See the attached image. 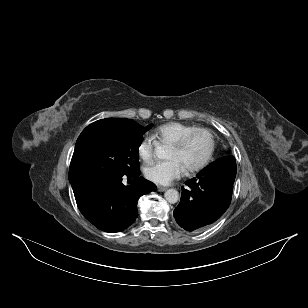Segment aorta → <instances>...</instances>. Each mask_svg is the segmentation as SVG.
I'll list each match as a JSON object with an SVG mask.
<instances>
[{
  "label": "aorta",
  "mask_w": 308,
  "mask_h": 308,
  "mask_svg": "<svg viewBox=\"0 0 308 308\" xmlns=\"http://www.w3.org/2000/svg\"><path fill=\"white\" fill-rule=\"evenodd\" d=\"M156 154L159 158L165 157V150L163 148H158ZM165 199L167 202L174 204L179 200V193L175 189H168L165 194Z\"/></svg>",
  "instance_id": "1"
}]
</instances>
